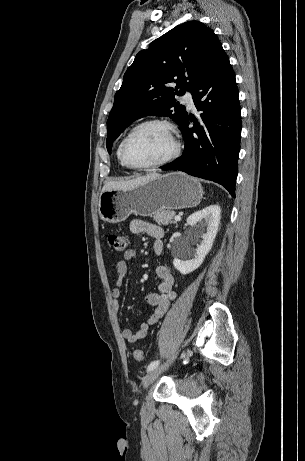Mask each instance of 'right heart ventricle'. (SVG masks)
<instances>
[{
    "instance_id": "e07e8e85",
    "label": "right heart ventricle",
    "mask_w": 305,
    "mask_h": 461,
    "mask_svg": "<svg viewBox=\"0 0 305 461\" xmlns=\"http://www.w3.org/2000/svg\"><path fill=\"white\" fill-rule=\"evenodd\" d=\"M124 138H122L120 140V142L118 143L117 145V149H116V156H117V159H118V162L120 163V165L124 168H130L126 165V163L124 162L123 158H122V154H121V145H122V141H123Z\"/></svg>"
}]
</instances>
